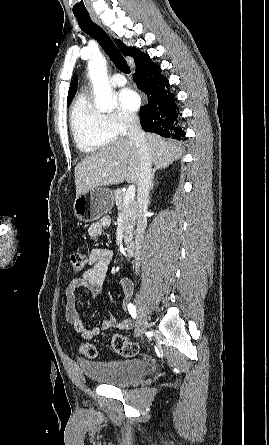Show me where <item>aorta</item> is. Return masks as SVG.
I'll return each mask as SVG.
<instances>
[{"mask_svg":"<svg viewBox=\"0 0 269 445\" xmlns=\"http://www.w3.org/2000/svg\"><path fill=\"white\" fill-rule=\"evenodd\" d=\"M88 73L95 93V108L100 112H110L117 106L107 76L105 58L93 55L88 63Z\"/></svg>","mask_w":269,"mask_h":445,"instance_id":"aorta-1","label":"aorta"}]
</instances>
